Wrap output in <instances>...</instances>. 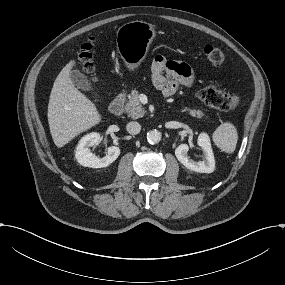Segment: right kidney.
<instances>
[{"mask_svg":"<svg viewBox=\"0 0 285 285\" xmlns=\"http://www.w3.org/2000/svg\"><path fill=\"white\" fill-rule=\"evenodd\" d=\"M101 140V136L97 133H90L80 140L75 153L76 160L80 165L90 168H102L107 167L118 158L120 155L118 146H110L108 154L102 159H98L97 156L91 154L90 149L99 145Z\"/></svg>","mask_w":285,"mask_h":285,"instance_id":"1","label":"right kidney"}]
</instances>
